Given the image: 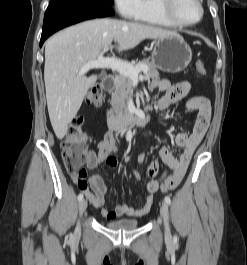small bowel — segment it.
I'll list each match as a JSON object with an SVG mask.
<instances>
[{"instance_id": "c3829d8e", "label": "small bowel", "mask_w": 247, "mask_h": 265, "mask_svg": "<svg viewBox=\"0 0 247 265\" xmlns=\"http://www.w3.org/2000/svg\"><path fill=\"white\" fill-rule=\"evenodd\" d=\"M151 87L153 89L165 91V95L157 103V108L160 111L182 100L191 90V84L188 81L171 84L168 80L164 79L154 80ZM185 107L189 111H197V119L193 130L190 134L179 133L175 136L176 145L182 148V153L178 159L173 156L165 145L160 146L159 155L162 161L172 170V174L164 183L160 184L157 180L153 179L158 172V163L156 161H151L147 165L146 174L150 179L146 182L145 188L148 192V196L145 204L141 208H133L122 204L117 205L113 210L106 209L104 208V204L108 188L103 178L99 175H93L89 179H86V176H73L74 182L78 188L85 194L95 208L101 209V215L105 219L113 220L122 216H143L150 211L155 193L158 191L167 192L173 190L181 183L196 148L206 134L211 119V104L206 97H191L186 101ZM148 135V132L143 133L145 138ZM117 142L118 137L113 132V129L107 132L103 140L97 145V152H88L86 159L87 168L93 170L101 163L110 168H116ZM137 159L141 164L146 161L144 153H140ZM134 174L140 179V174L138 172Z\"/></svg>"}]
</instances>
